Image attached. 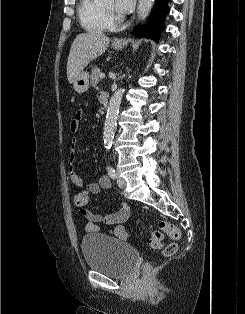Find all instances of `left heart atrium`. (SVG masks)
<instances>
[{"label": "left heart atrium", "mask_w": 245, "mask_h": 314, "mask_svg": "<svg viewBox=\"0 0 245 314\" xmlns=\"http://www.w3.org/2000/svg\"><path fill=\"white\" fill-rule=\"evenodd\" d=\"M135 0H115V8L119 13L126 14L133 10Z\"/></svg>", "instance_id": "left-heart-atrium-1"}]
</instances>
